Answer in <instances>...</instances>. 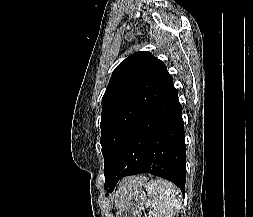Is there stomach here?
Returning a JSON list of instances; mask_svg holds the SVG:
<instances>
[{
    "label": "stomach",
    "instance_id": "0dacf381",
    "mask_svg": "<svg viewBox=\"0 0 253 217\" xmlns=\"http://www.w3.org/2000/svg\"><path fill=\"white\" fill-rule=\"evenodd\" d=\"M141 188L133 189L129 195L116 201V217H141L147 206V197Z\"/></svg>",
    "mask_w": 253,
    "mask_h": 217
}]
</instances>
